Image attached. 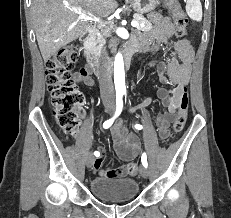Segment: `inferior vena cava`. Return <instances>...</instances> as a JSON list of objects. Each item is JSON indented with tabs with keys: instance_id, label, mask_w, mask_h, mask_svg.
Listing matches in <instances>:
<instances>
[{
	"instance_id": "1",
	"label": "inferior vena cava",
	"mask_w": 231,
	"mask_h": 218,
	"mask_svg": "<svg viewBox=\"0 0 231 218\" xmlns=\"http://www.w3.org/2000/svg\"><path fill=\"white\" fill-rule=\"evenodd\" d=\"M99 85L101 97L104 100H114V87L110 69L109 57L102 56L99 63Z\"/></svg>"
}]
</instances>
